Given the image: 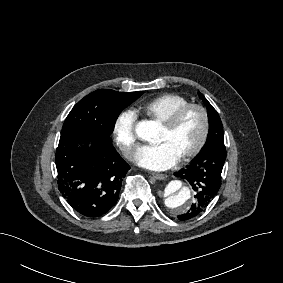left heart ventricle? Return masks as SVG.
I'll use <instances>...</instances> for the list:
<instances>
[{"label": "left heart ventricle", "mask_w": 283, "mask_h": 283, "mask_svg": "<svg viewBox=\"0 0 283 283\" xmlns=\"http://www.w3.org/2000/svg\"><path fill=\"white\" fill-rule=\"evenodd\" d=\"M202 135V118L198 111L190 110L172 131L162 127L155 143L166 142L181 157L193 149Z\"/></svg>", "instance_id": "left-heart-ventricle-1"}]
</instances>
